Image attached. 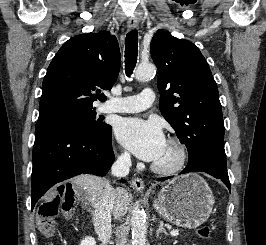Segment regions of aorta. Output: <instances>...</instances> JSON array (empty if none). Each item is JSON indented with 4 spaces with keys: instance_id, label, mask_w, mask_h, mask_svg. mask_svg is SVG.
<instances>
[{
    "instance_id": "1",
    "label": "aorta",
    "mask_w": 266,
    "mask_h": 245,
    "mask_svg": "<svg viewBox=\"0 0 266 245\" xmlns=\"http://www.w3.org/2000/svg\"><path fill=\"white\" fill-rule=\"evenodd\" d=\"M156 72L154 64H139L136 72L135 78L137 80H148L152 78ZM131 233H132V245H146V235H147V223H146V213L140 207H133L132 217H131Z\"/></svg>"
}]
</instances>
